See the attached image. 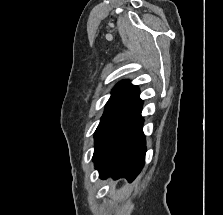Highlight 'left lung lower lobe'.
<instances>
[{
  "label": "left lung lower lobe",
  "instance_id": "1",
  "mask_svg": "<svg viewBox=\"0 0 223 215\" xmlns=\"http://www.w3.org/2000/svg\"><path fill=\"white\" fill-rule=\"evenodd\" d=\"M143 102L140 101L110 131L97 153L93 156L101 179L127 178L132 182L145 163V136L141 117Z\"/></svg>",
  "mask_w": 223,
  "mask_h": 215
}]
</instances>
